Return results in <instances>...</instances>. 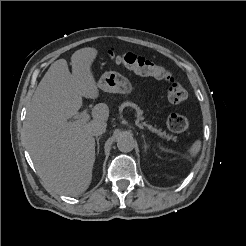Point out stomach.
<instances>
[{
  "label": "stomach",
  "mask_w": 246,
  "mask_h": 246,
  "mask_svg": "<svg viewBox=\"0 0 246 246\" xmlns=\"http://www.w3.org/2000/svg\"><path fill=\"white\" fill-rule=\"evenodd\" d=\"M98 88L109 93L131 94L133 86L125 76L116 71L105 72L97 83Z\"/></svg>",
  "instance_id": "stomach-1"
}]
</instances>
